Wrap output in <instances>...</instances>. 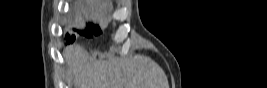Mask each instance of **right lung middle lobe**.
Masks as SVG:
<instances>
[{
  "label": "right lung middle lobe",
  "mask_w": 267,
  "mask_h": 88,
  "mask_svg": "<svg viewBox=\"0 0 267 88\" xmlns=\"http://www.w3.org/2000/svg\"><path fill=\"white\" fill-rule=\"evenodd\" d=\"M79 34L84 35L86 37H93V35L97 36L101 34V30L99 26L93 25V24H87L86 30L85 31H78ZM66 39L69 42H73L75 40V36H66Z\"/></svg>",
  "instance_id": "obj_1"
}]
</instances>
